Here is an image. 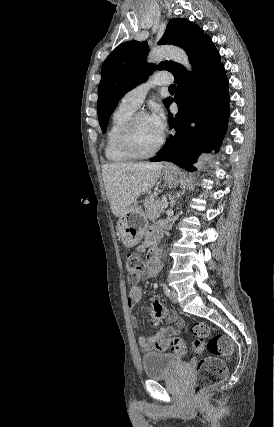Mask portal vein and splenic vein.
Listing matches in <instances>:
<instances>
[{"instance_id": "portal-vein-and-splenic-vein-1", "label": "portal vein and splenic vein", "mask_w": 274, "mask_h": 427, "mask_svg": "<svg viewBox=\"0 0 274 427\" xmlns=\"http://www.w3.org/2000/svg\"><path fill=\"white\" fill-rule=\"evenodd\" d=\"M167 206H168V202H164V204L162 206V210H163V208H167Z\"/></svg>"}]
</instances>
